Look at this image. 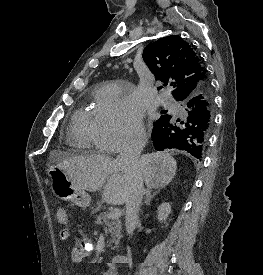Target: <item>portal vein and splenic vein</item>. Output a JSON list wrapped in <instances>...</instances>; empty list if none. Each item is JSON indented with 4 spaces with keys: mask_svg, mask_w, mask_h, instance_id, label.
Masks as SVG:
<instances>
[{
    "mask_svg": "<svg viewBox=\"0 0 263 275\" xmlns=\"http://www.w3.org/2000/svg\"><path fill=\"white\" fill-rule=\"evenodd\" d=\"M121 216V211L120 209H113L111 212H110V215H109V218L111 219H119Z\"/></svg>",
    "mask_w": 263,
    "mask_h": 275,
    "instance_id": "18ae733b",
    "label": "portal vein and splenic vein"
}]
</instances>
